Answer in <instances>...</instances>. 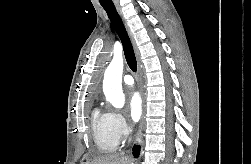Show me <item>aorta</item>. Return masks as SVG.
<instances>
[{
  "mask_svg": "<svg viewBox=\"0 0 251 164\" xmlns=\"http://www.w3.org/2000/svg\"><path fill=\"white\" fill-rule=\"evenodd\" d=\"M123 58L114 56L104 74L103 92L106 100L116 108H122L125 97L122 91Z\"/></svg>",
  "mask_w": 251,
  "mask_h": 164,
  "instance_id": "1",
  "label": "aorta"
}]
</instances>
